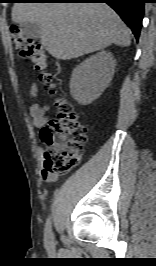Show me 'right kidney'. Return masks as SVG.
Instances as JSON below:
<instances>
[{
  "label": "right kidney",
  "mask_w": 156,
  "mask_h": 266,
  "mask_svg": "<svg viewBox=\"0 0 156 266\" xmlns=\"http://www.w3.org/2000/svg\"><path fill=\"white\" fill-rule=\"evenodd\" d=\"M115 68V59L107 51H101L86 59L72 72L70 93L82 105L97 99L110 83Z\"/></svg>",
  "instance_id": "obj_1"
}]
</instances>
